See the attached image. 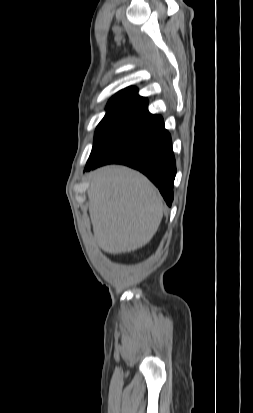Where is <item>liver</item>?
Instances as JSON below:
<instances>
[{
	"instance_id": "6515ba94",
	"label": "liver",
	"mask_w": 253,
	"mask_h": 413,
	"mask_svg": "<svg viewBox=\"0 0 253 413\" xmlns=\"http://www.w3.org/2000/svg\"><path fill=\"white\" fill-rule=\"evenodd\" d=\"M88 199L95 241L109 254L145 246L163 217L158 190L144 175L125 166H105L94 171Z\"/></svg>"
}]
</instances>
